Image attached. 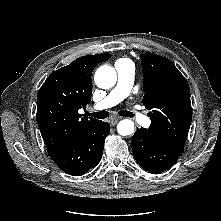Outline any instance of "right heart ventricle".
Returning <instances> with one entry per match:
<instances>
[{
	"mask_svg": "<svg viewBox=\"0 0 221 221\" xmlns=\"http://www.w3.org/2000/svg\"><path fill=\"white\" fill-rule=\"evenodd\" d=\"M129 62H130V61H129L128 59H126V58H121V59L117 60L115 64H117V63H129Z\"/></svg>",
	"mask_w": 221,
	"mask_h": 221,
	"instance_id": "1",
	"label": "right heart ventricle"
}]
</instances>
